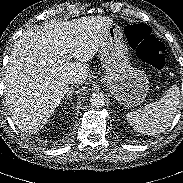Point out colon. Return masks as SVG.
Returning a JSON list of instances; mask_svg holds the SVG:
<instances>
[{"instance_id":"colon-1","label":"colon","mask_w":183,"mask_h":183,"mask_svg":"<svg viewBox=\"0 0 183 183\" xmlns=\"http://www.w3.org/2000/svg\"><path fill=\"white\" fill-rule=\"evenodd\" d=\"M125 36L137 55L156 69H161L166 60L165 45L154 37L148 25L135 23L127 25Z\"/></svg>"}]
</instances>
